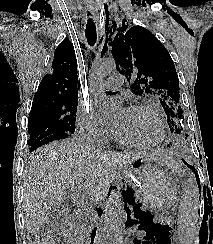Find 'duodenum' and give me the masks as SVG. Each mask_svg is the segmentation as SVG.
I'll use <instances>...</instances> for the list:
<instances>
[{"instance_id": "1", "label": "duodenum", "mask_w": 213, "mask_h": 244, "mask_svg": "<svg viewBox=\"0 0 213 244\" xmlns=\"http://www.w3.org/2000/svg\"><path fill=\"white\" fill-rule=\"evenodd\" d=\"M96 218L101 219V216L96 215ZM101 238V230L99 228H94L90 234V244H102Z\"/></svg>"}]
</instances>
